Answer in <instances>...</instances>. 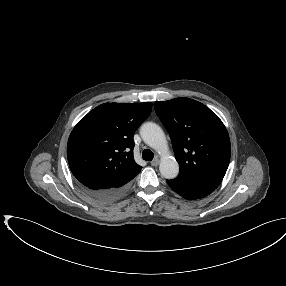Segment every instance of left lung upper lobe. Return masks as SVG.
<instances>
[{
	"label": "left lung upper lobe",
	"mask_w": 286,
	"mask_h": 286,
	"mask_svg": "<svg viewBox=\"0 0 286 286\" xmlns=\"http://www.w3.org/2000/svg\"><path fill=\"white\" fill-rule=\"evenodd\" d=\"M180 166L178 178L217 188L230 161L228 132L219 117L189 98L154 102Z\"/></svg>",
	"instance_id": "obj_1"
}]
</instances>
